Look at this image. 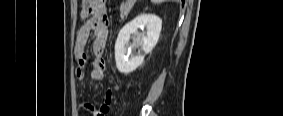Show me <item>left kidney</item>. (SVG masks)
<instances>
[{
  "mask_svg": "<svg viewBox=\"0 0 283 116\" xmlns=\"http://www.w3.org/2000/svg\"><path fill=\"white\" fill-rule=\"evenodd\" d=\"M144 27L147 34H137V30ZM161 28L162 20L158 16L141 14L120 30L115 43V61L119 72L131 73L143 63L145 56L157 44ZM131 35H134L133 42L129 44Z\"/></svg>",
  "mask_w": 283,
  "mask_h": 116,
  "instance_id": "obj_1",
  "label": "left kidney"
}]
</instances>
